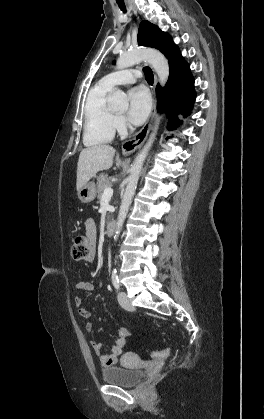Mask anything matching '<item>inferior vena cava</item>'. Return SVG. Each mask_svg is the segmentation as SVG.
<instances>
[{"mask_svg": "<svg viewBox=\"0 0 264 419\" xmlns=\"http://www.w3.org/2000/svg\"><path fill=\"white\" fill-rule=\"evenodd\" d=\"M129 128H130L131 130H133V127H132L131 125H129Z\"/></svg>", "mask_w": 264, "mask_h": 419, "instance_id": "inferior-vena-cava-1", "label": "inferior vena cava"}]
</instances>
